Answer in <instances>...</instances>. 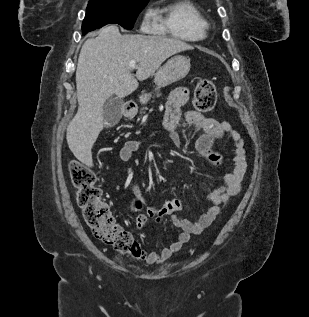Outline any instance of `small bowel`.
I'll return each instance as SVG.
<instances>
[{"instance_id": "c3829d8e", "label": "small bowel", "mask_w": 309, "mask_h": 317, "mask_svg": "<svg viewBox=\"0 0 309 317\" xmlns=\"http://www.w3.org/2000/svg\"><path fill=\"white\" fill-rule=\"evenodd\" d=\"M188 96L189 92L186 88H177L171 93L166 103L163 132L167 134L176 147H180L181 139L177 132L180 122L183 120L188 127L197 129L200 133L195 139V148L216 168L223 166L224 157L215 145L218 141L230 140L232 142L234 169L231 172H226L222 177V185L207 196L210 207L196 221L185 220L178 215L182 207L178 199H170L161 206H149L146 213L137 215L136 222L139 228L145 226L149 217L160 221L168 216L173 224L181 229L174 242L169 246L160 252L152 251L147 254L146 262L148 264L163 263L180 250L189 241L191 235L199 234L207 228L219 214L220 206L238 193L247 167L244 141L228 122L217 121L196 111H188L181 116V107L187 102ZM160 133L155 132L153 136ZM141 144V140L127 141L120 151L121 160L129 161ZM132 190L137 192L138 187L133 185Z\"/></svg>"}]
</instances>
